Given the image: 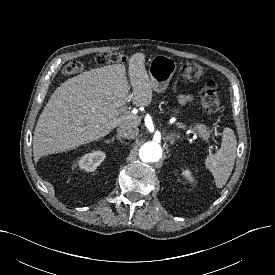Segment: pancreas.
Listing matches in <instances>:
<instances>
[{
  "label": "pancreas",
  "mask_w": 275,
  "mask_h": 275,
  "mask_svg": "<svg viewBox=\"0 0 275 275\" xmlns=\"http://www.w3.org/2000/svg\"><path fill=\"white\" fill-rule=\"evenodd\" d=\"M195 130H197V132L199 133V135L204 139V140H208L210 137V131L208 130L207 127H205L202 124H198L195 127Z\"/></svg>",
  "instance_id": "obj_1"
}]
</instances>
